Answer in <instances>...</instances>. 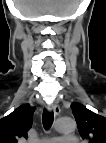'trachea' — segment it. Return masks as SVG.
Returning <instances> with one entry per match:
<instances>
[{"label":"trachea","mask_w":106,"mask_h":143,"mask_svg":"<svg viewBox=\"0 0 106 143\" xmlns=\"http://www.w3.org/2000/svg\"><path fill=\"white\" fill-rule=\"evenodd\" d=\"M53 120H54V113L44 110L42 115V121L45 129H49L51 127Z\"/></svg>","instance_id":"obj_1"}]
</instances>
